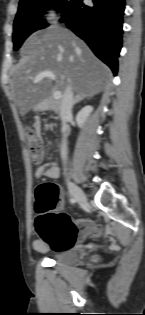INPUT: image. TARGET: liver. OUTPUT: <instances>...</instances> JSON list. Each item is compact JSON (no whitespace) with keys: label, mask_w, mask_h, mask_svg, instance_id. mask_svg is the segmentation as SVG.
<instances>
[{"label":"liver","mask_w":145,"mask_h":315,"mask_svg":"<svg viewBox=\"0 0 145 315\" xmlns=\"http://www.w3.org/2000/svg\"><path fill=\"white\" fill-rule=\"evenodd\" d=\"M21 59L13 71L11 95L24 116L38 103L71 85L78 96L92 97L105 88L109 68L71 31L51 27L32 34L23 44ZM51 71L52 79L34 82L37 74Z\"/></svg>","instance_id":"1"}]
</instances>
